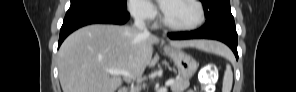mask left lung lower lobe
<instances>
[{
    "mask_svg": "<svg viewBox=\"0 0 296 92\" xmlns=\"http://www.w3.org/2000/svg\"><path fill=\"white\" fill-rule=\"evenodd\" d=\"M168 36L173 40L184 39H214L219 40L227 44L234 52L236 59H238L237 53V32L234 27H223L212 32H205L201 28L191 32H176L169 33Z\"/></svg>",
    "mask_w": 296,
    "mask_h": 92,
    "instance_id": "obj_1",
    "label": "left lung lower lobe"
}]
</instances>
